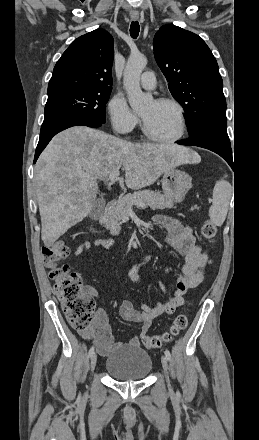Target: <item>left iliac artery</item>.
<instances>
[{
    "label": "left iliac artery",
    "mask_w": 259,
    "mask_h": 440,
    "mask_svg": "<svg viewBox=\"0 0 259 440\" xmlns=\"http://www.w3.org/2000/svg\"><path fill=\"white\" fill-rule=\"evenodd\" d=\"M165 355H166V357H167L168 360L171 359V354H170V351H169L168 349H166V351H165Z\"/></svg>",
    "instance_id": "1"
}]
</instances>
